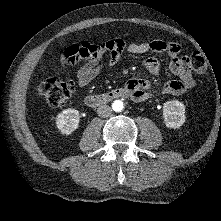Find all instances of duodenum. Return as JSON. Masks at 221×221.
Listing matches in <instances>:
<instances>
[{
	"label": "duodenum",
	"instance_id": "410a0bca",
	"mask_svg": "<svg viewBox=\"0 0 221 221\" xmlns=\"http://www.w3.org/2000/svg\"><path fill=\"white\" fill-rule=\"evenodd\" d=\"M129 92L125 88H118L103 94H93L85 97V104L91 108H96L118 98L129 97Z\"/></svg>",
	"mask_w": 221,
	"mask_h": 221
}]
</instances>
